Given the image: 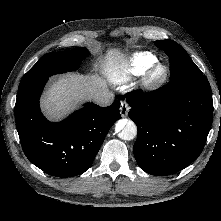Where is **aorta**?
<instances>
[{
    "label": "aorta",
    "instance_id": "762f6f07",
    "mask_svg": "<svg viewBox=\"0 0 221 221\" xmlns=\"http://www.w3.org/2000/svg\"><path fill=\"white\" fill-rule=\"evenodd\" d=\"M115 131L118 137L125 141L133 140L137 136V127L131 120L121 119L116 123Z\"/></svg>",
    "mask_w": 221,
    "mask_h": 221
}]
</instances>
